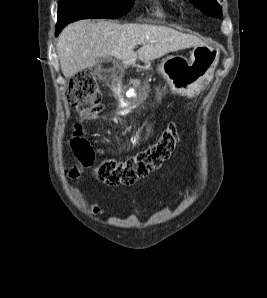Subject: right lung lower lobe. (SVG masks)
Listing matches in <instances>:
<instances>
[{"instance_id": "1", "label": "right lung lower lobe", "mask_w": 267, "mask_h": 298, "mask_svg": "<svg viewBox=\"0 0 267 298\" xmlns=\"http://www.w3.org/2000/svg\"><path fill=\"white\" fill-rule=\"evenodd\" d=\"M63 27H64V26H61V25H57V26H56V35L59 34V32L62 30Z\"/></svg>"}]
</instances>
